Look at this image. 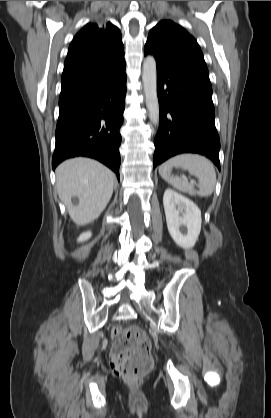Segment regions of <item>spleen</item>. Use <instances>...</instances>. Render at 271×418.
I'll use <instances>...</instances> for the list:
<instances>
[{"label": "spleen", "mask_w": 271, "mask_h": 418, "mask_svg": "<svg viewBox=\"0 0 271 418\" xmlns=\"http://www.w3.org/2000/svg\"><path fill=\"white\" fill-rule=\"evenodd\" d=\"M172 167H182L198 178V191L194 184L188 183L183 178L170 175ZM159 173L175 189L192 194L196 192L201 197L213 193L216 185V172L210 160L198 154H180L161 164Z\"/></svg>", "instance_id": "spleen-1"}]
</instances>
